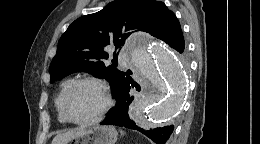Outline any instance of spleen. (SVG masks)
<instances>
[{
	"label": "spleen",
	"instance_id": "obj_1",
	"mask_svg": "<svg viewBox=\"0 0 260 144\" xmlns=\"http://www.w3.org/2000/svg\"><path fill=\"white\" fill-rule=\"evenodd\" d=\"M121 134L124 135V132L122 130H120Z\"/></svg>",
	"mask_w": 260,
	"mask_h": 144
}]
</instances>
